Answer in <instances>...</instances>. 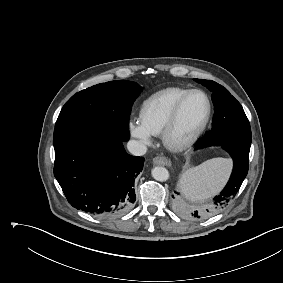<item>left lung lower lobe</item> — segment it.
I'll return each mask as SVG.
<instances>
[{
  "label": "left lung lower lobe",
  "instance_id": "0a47b994",
  "mask_svg": "<svg viewBox=\"0 0 283 283\" xmlns=\"http://www.w3.org/2000/svg\"><path fill=\"white\" fill-rule=\"evenodd\" d=\"M212 146L203 139L195 146V150L204 147ZM220 146L233 159V170L230 179L221 191V193L214 197L212 203L200 211H193L189 215L194 218H205L212 214L219 212L230 201L232 197L238 192L243 180L248 173L249 151L250 148H244L235 145H213Z\"/></svg>",
  "mask_w": 283,
  "mask_h": 283
}]
</instances>
